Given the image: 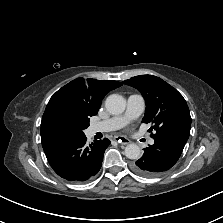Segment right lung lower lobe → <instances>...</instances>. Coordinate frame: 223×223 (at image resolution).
Masks as SVG:
<instances>
[{"instance_id":"right-lung-lower-lobe-1","label":"right lung lower lobe","mask_w":223,"mask_h":223,"mask_svg":"<svg viewBox=\"0 0 223 223\" xmlns=\"http://www.w3.org/2000/svg\"><path fill=\"white\" fill-rule=\"evenodd\" d=\"M109 144L107 138L88 144L84 135L57 142L44 149V152L60 177L72 182H83L98 173Z\"/></svg>"}]
</instances>
